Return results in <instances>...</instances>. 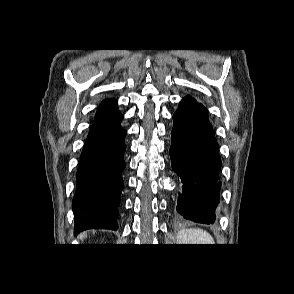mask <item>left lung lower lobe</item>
<instances>
[{"label":"left lung lower lobe","instance_id":"left-lung-lower-lobe-1","mask_svg":"<svg viewBox=\"0 0 294 294\" xmlns=\"http://www.w3.org/2000/svg\"><path fill=\"white\" fill-rule=\"evenodd\" d=\"M173 121L171 165L183 183L177 212L186 220L214 223L221 159L207 109L188 95L181 100Z\"/></svg>","mask_w":294,"mask_h":294}]
</instances>
